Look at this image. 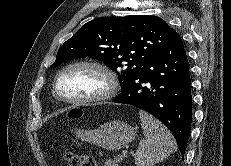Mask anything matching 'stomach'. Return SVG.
<instances>
[{
	"label": "stomach",
	"instance_id": "stomach-1",
	"mask_svg": "<svg viewBox=\"0 0 231 166\" xmlns=\"http://www.w3.org/2000/svg\"><path fill=\"white\" fill-rule=\"evenodd\" d=\"M76 135L82 141L90 142L107 150H118L132 142L136 128L123 121H109L96 129H79Z\"/></svg>",
	"mask_w": 231,
	"mask_h": 166
}]
</instances>
